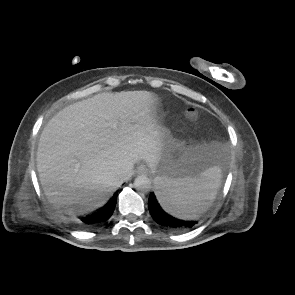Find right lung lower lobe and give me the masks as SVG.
Returning a JSON list of instances; mask_svg holds the SVG:
<instances>
[{"label":"right lung lower lobe","mask_w":295,"mask_h":295,"mask_svg":"<svg viewBox=\"0 0 295 295\" xmlns=\"http://www.w3.org/2000/svg\"><path fill=\"white\" fill-rule=\"evenodd\" d=\"M117 201V193L99 210L93 212L91 214L82 216L81 222L85 227H95L99 224H102L106 220H108L115 208Z\"/></svg>","instance_id":"obj_1"}]
</instances>
